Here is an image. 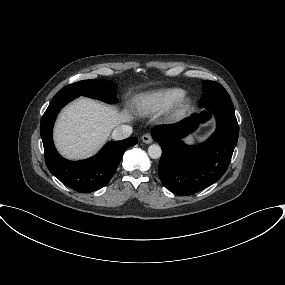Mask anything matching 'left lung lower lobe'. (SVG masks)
I'll list each match as a JSON object with an SVG mask.
<instances>
[{"label":"left lung lower lobe","instance_id":"1","mask_svg":"<svg viewBox=\"0 0 285 285\" xmlns=\"http://www.w3.org/2000/svg\"><path fill=\"white\" fill-rule=\"evenodd\" d=\"M207 111L193 114L171 125H157L152 137L162 148L158 172L164 186L171 192L188 196L218 181L226 172L237 144L239 126L234 109L209 106ZM215 115V133L200 146L181 141L199 122Z\"/></svg>","mask_w":285,"mask_h":285}]
</instances>
